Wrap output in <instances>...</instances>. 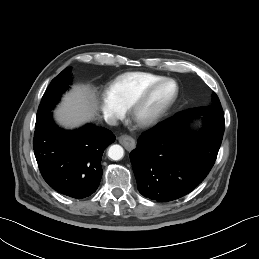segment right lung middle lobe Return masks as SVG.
<instances>
[{
	"mask_svg": "<svg viewBox=\"0 0 259 259\" xmlns=\"http://www.w3.org/2000/svg\"><path fill=\"white\" fill-rule=\"evenodd\" d=\"M70 79V69L67 68L52 80L39 105L35 127L39 126L51 114V110L59 102L61 95L69 88Z\"/></svg>",
	"mask_w": 259,
	"mask_h": 259,
	"instance_id": "dd1d6c3e",
	"label": "right lung middle lobe"
}]
</instances>
